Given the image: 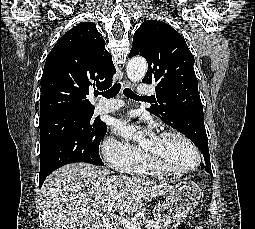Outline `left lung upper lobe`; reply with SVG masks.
Listing matches in <instances>:
<instances>
[{
	"label": "left lung upper lobe",
	"instance_id": "obj_1",
	"mask_svg": "<svg viewBox=\"0 0 255 229\" xmlns=\"http://www.w3.org/2000/svg\"><path fill=\"white\" fill-rule=\"evenodd\" d=\"M136 55L148 62L142 82L157 84V102L147 110L186 135L204 157L209 156L206 131L197 129L190 116L194 109L203 106L193 68L195 59L184 38L163 22L145 21L134 33L129 57Z\"/></svg>",
	"mask_w": 255,
	"mask_h": 229
}]
</instances>
